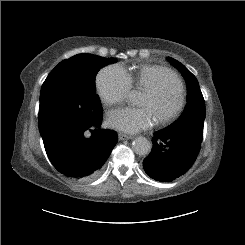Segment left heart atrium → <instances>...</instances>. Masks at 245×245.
<instances>
[{
	"instance_id": "1",
	"label": "left heart atrium",
	"mask_w": 245,
	"mask_h": 245,
	"mask_svg": "<svg viewBox=\"0 0 245 245\" xmlns=\"http://www.w3.org/2000/svg\"><path fill=\"white\" fill-rule=\"evenodd\" d=\"M153 121L148 108L121 107L110 111L106 118L109 128L125 133H137L150 128Z\"/></svg>"
}]
</instances>
